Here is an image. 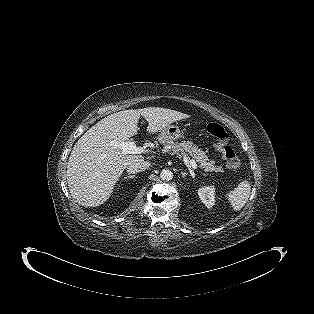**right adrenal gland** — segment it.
Wrapping results in <instances>:
<instances>
[{
	"label": "right adrenal gland",
	"mask_w": 314,
	"mask_h": 314,
	"mask_svg": "<svg viewBox=\"0 0 314 314\" xmlns=\"http://www.w3.org/2000/svg\"><path fill=\"white\" fill-rule=\"evenodd\" d=\"M135 177V175H130V174H128L126 177H124V179H132V178H134Z\"/></svg>",
	"instance_id": "2a0ac1e0"
}]
</instances>
